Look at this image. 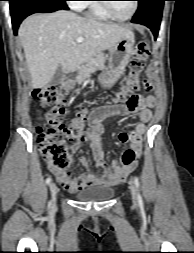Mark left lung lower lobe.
Masks as SVG:
<instances>
[{"instance_id": "left-lung-lower-lobe-1", "label": "left lung lower lobe", "mask_w": 194, "mask_h": 253, "mask_svg": "<svg viewBox=\"0 0 194 253\" xmlns=\"http://www.w3.org/2000/svg\"><path fill=\"white\" fill-rule=\"evenodd\" d=\"M164 1L167 0H142L132 22L145 25L151 29L154 38H157L163 11Z\"/></svg>"}]
</instances>
